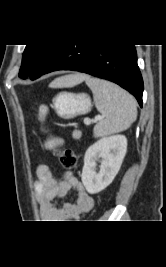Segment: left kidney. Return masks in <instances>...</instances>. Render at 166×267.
I'll return each instance as SVG.
<instances>
[{
    "instance_id": "obj_1",
    "label": "left kidney",
    "mask_w": 166,
    "mask_h": 267,
    "mask_svg": "<svg viewBox=\"0 0 166 267\" xmlns=\"http://www.w3.org/2000/svg\"><path fill=\"white\" fill-rule=\"evenodd\" d=\"M126 151L127 139L124 135L102 138L87 149L81 177L88 193H99L112 183ZM100 159V170L97 172V161Z\"/></svg>"
}]
</instances>
